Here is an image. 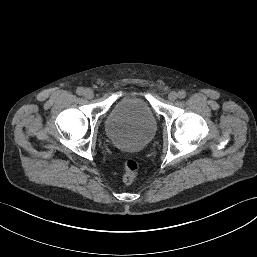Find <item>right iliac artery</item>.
<instances>
[{
	"label": "right iliac artery",
	"mask_w": 257,
	"mask_h": 257,
	"mask_svg": "<svg viewBox=\"0 0 257 257\" xmlns=\"http://www.w3.org/2000/svg\"><path fill=\"white\" fill-rule=\"evenodd\" d=\"M76 93H77L78 95H83V94H84V89H83V88H78V89L76 90Z\"/></svg>",
	"instance_id": "right-iliac-artery-1"
}]
</instances>
